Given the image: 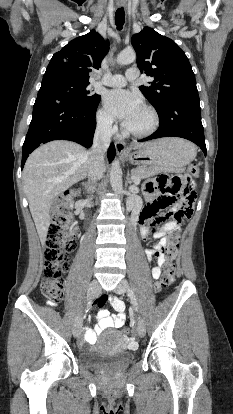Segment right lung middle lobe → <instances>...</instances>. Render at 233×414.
I'll use <instances>...</instances> for the list:
<instances>
[{
	"instance_id": "right-lung-middle-lobe-1",
	"label": "right lung middle lobe",
	"mask_w": 233,
	"mask_h": 414,
	"mask_svg": "<svg viewBox=\"0 0 233 414\" xmlns=\"http://www.w3.org/2000/svg\"><path fill=\"white\" fill-rule=\"evenodd\" d=\"M89 82L74 80L62 76H44L38 97L56 99L79 106H93L99 103L100 95L87 90Z\"/></svg>"
}]
</instances>
